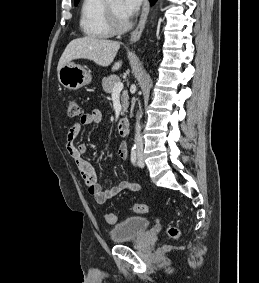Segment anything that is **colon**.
I'll list each match as a JSON object with an SVG mask.
<instances>
[{"label":"colon","mask_w":259,"mask_h":283,"mask_svg":"<svg viewBox=\"0 0 259 283\" xmlns=\"http://www.w3.org/2000/svg\"><path fill=\"white\" fill-rule=\"evenodd\" d=\"M67 110L70 117L77 118L82 115V109L79 103L75 100L69 99L67 100ZM133 211L138 214H143L147 212V206L142 203H136L133 205ZM106 222L108 224H115L116 223V217L113 213H107L106 216ZM180 235V231L177 227L171 226L168 229V237L171 239H176Z\"/></svg>","instance_id":"colon-1"}]
</instances>
